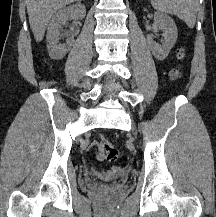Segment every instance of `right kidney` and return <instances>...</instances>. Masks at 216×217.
I'll return each instance as SVG.
<instances>
[{
  "mask_svg": "<svg viewBox=\"0 0 216 217\" xmlns=\"http://www.w3.org/2000/svg\"><path fill=\"white\" fill-rule=\"evenodd\" d=\"M86 15L85 6L81 3L60 9L51 19L47 29V47L51 58L62 59L71 49L73 38H68L65 44H59L62 25L70 19H83Z\"/></svg>",
  "mask_w": 216,
  "mask_h": 217,
  "instance_id": "1",
  "label": "right kidney"
}]
</instances>
